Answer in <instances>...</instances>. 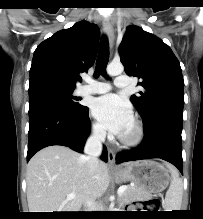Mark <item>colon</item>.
<instances>
[{"label":"colon","mask_w":203,"mask_h":219,"mask_svg":"<svg viewBox=\"0 0 203 219\" xmlns=\"http://www.w3.org/2000/svg\"><path fill=\"white\" fill-rule=\"evenodd\" d=\"M148 206L152 209L158 210L160 208V200L159 199H152L148 201Z\"/></svg>","instance_id":"colon-1"}]
</instances>
